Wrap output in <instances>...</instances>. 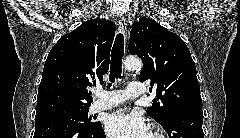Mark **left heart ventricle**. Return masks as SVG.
Here are the masks:
<instances>
[{
  "label": "left heart ventricle",
  "instance_id": "b2bd125f",
  "mask_svg": "<svg viewBox=\"0 0 240 138\" xmlns=\"http://www.w3.org/2000/svg\"><path fill=\"white\" fill-rule=\"evenodd\" d=\"M149 138H155V136L151 133Z\"/></svg>",
  "mask_w": 240,
  "mask_h": 138
}]
</instances>
